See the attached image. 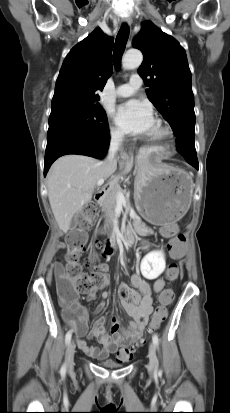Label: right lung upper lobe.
I'll return each instance as SVG.
<instances>
[{"mask_svg":"<svg viewBox=\"0 0 230 413\" xmlns=\"http://www.w3.org/2000/svg\"><path fill=\"white\" fill-rule=\"evenodd\" d=\"M112 48L113 39L96 28L71 49L56 81L52 110L100 106L97 91L112 73Z\"/></svg>","mask_w":230,"mask_h":413,"instance_id":"obj_1","label":"right lung upper lobe"}]
</instances>
